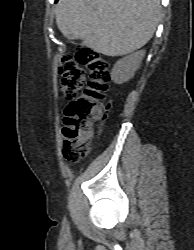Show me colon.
I'll use <instances>...</instances> for the list:
<instances>
[{
	"instance_id": "5ec220e1",
	"label": "colon",
	"mask_w": 194,
	"mask_h": 250,
	"mask_svg": "<svg viewBox=\"0 0 194 250\" xmlns=\"http://www.w3.org/2000/svg\"><path fill=\"white\" fill-rule=\"evenodd\" d=\"M58 71L66 100L62 152L68 161L77 162L86 156L92 126L102 116L110 79L108 61L97 51L80 46L74 54L62 56Z\"/></svg>"
}]
</instances>
